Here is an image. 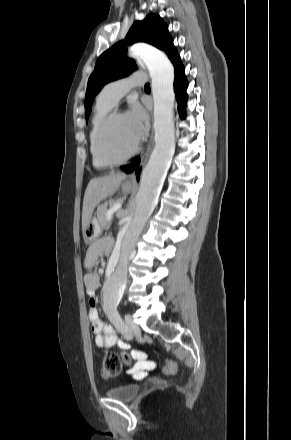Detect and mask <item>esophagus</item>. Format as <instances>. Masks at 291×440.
<instances>
[{
    "label": "esophagus",
    "mask_w": 291,
    "mask_h": 440,
    "mask_svg": "<svg viewBox=\"0 0 291 440\" xmlns=\"http://www.w3.org/2000/svg\"><path fill=\"white\" fill-rule=\"evenodd\" d=\"M153 146H154V131L152 130L146 151L141 156V165H144L147 162L149 155L153 149ZM129 182L132 184H136V177L134 174L130 176Z\"/></svg>",
    "instance_id": "esophagus-1"
}]
</instances>
